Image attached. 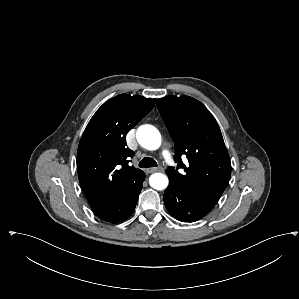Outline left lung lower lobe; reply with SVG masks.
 <instances>
[{"instance_id":"0a47b994","label":"left lung lower lobe","mask_w":299,"mask_h":299,"mask_svg":"<svg viewBox=\"0 0 299 299\" xmlns=\"http://www.w3.org/2000/svg\"><path fill=\"white\" fill-rule=\"evenodd\" d=\"M168 212L182 222H195L207 215L213 205L170 181L164 193Z\"/></svg>"}]
</instances>
